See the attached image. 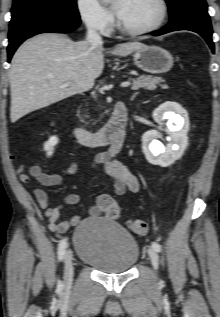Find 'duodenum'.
Listing matches in <instances>:
<instances>
[{"label":"duodenum","instance_id":"410a0bca","mask_svg":"<svg viewBox=\"0 0 220 317\" xmlns=\"http://www.w3.org/2000/svg\"><path fill=\"white\" fill-rule=\"evenodd\" d=\"M126 122V107L122 102H118L111 120L102 130L91 132L84 127L72 126L69 131L73 138L86 147L112 145L121 148L126 139Z\"/></svg>","mask_w":220,"mask_h":317}]
</instances>
